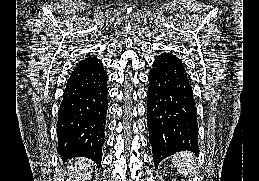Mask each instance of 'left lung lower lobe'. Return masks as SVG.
<instances>
[{
  "label": "left lung lower lobe",
  "mask_w": 259,
  "mask_h": 181,
  "mask_svg": "<svg viewBox=\"0 0 259 181\" xmlns=\"http://www.w3.org/2000/svg\"><path fill=\"white\" fill-rule=\"evenodd\" d=\"M148 81L147 125L155 166L181 150L198 154L197 110L182 61L172 53H162Z\"/></svg>",
  "instance_id": "0a47b994"
}]
</instances>
